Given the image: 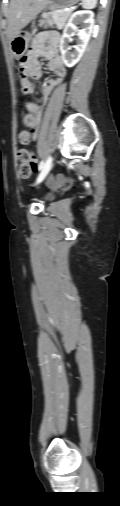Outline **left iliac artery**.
I'll return each mask as SVG.
<instances>
[{
    "mask_svg": "<svg viewBox=\"0 0 120 506\" xmlns=\"http://www.w3.org/2000/svg\"><path fill=\"white\" fill-rule=\"evenodd\" d=\"M44 165H45V163H44V161L42 160V161L39 163L38 170H42V169H43V167H44ZM46 174H47V172H45V174H44V175H46Z\"/></svg>",
    "mask_w": 120,
    "mask_h": 506,
    "instance_id": "1",
    "label": "left iliac artery"
}]
</instances>
